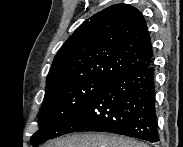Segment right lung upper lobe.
I'll return each mask as SVG.
<instances>
[{
  "mask_svg": "<svg viewBox=\"0 0 183 147\" xmlns=\"http://www.w3.org/2000/svg\"><path fill=\"white\" fill-rule=\"evenodd\" d=\"M152 65L143 15L127 4L112 5L87 19L56 54L46 88L81 79H113Z\"/></svg>",
  "mask_w": 183,
  "mask_h": 147,
  "instance_id": "cb5924a9",
  "label": "right lung upper lobe"
}]
</instances>
